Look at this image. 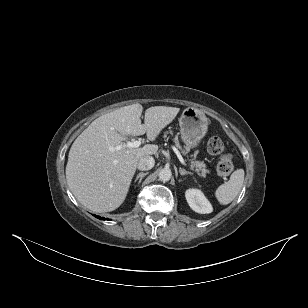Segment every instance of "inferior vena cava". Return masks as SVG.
<instances>
[{
	"instance_id": "obj_1",
	"label": "inferior vena cava",
	"mask_w": 308,
	"mask_h": 308,
	"mask_svg": "<svg viewBox=\"0 0 308 308\" xmlns=\"http://www.w3.org/2000/svg\"><path fill=\"white\" fill-rule=\"evenodd\" d=\"M154 165H155V160L152 156H144L140 158L137 167L139 170L147 171L152 169Z\"/></svg>"
}]
</instances>
